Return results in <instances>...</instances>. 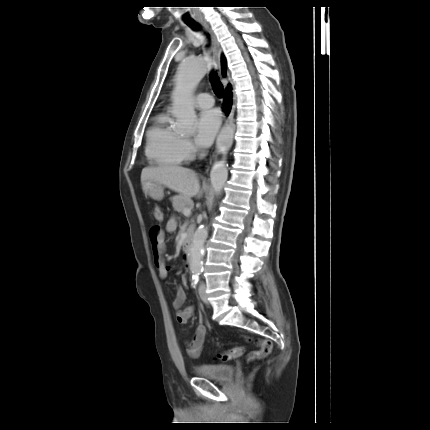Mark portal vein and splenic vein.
I'll use <instances>...</instances> for the list:
<instances>
[{
  "label": "portal vein and splenic vein",
  "instance_id": "1",
  "mask_svg": "<svg viewBox=\"0 0 430 430\" xmlns=\"http://www.w3.org/2000/svg\"><path fill=\"white\" fill-rule=\"evenodd\" d=\"M183 214H184L185 216H190V214H191V208H186V209H184Z\"/></svg>",
  "mask_w": 430,
  "mask_h": 430
}]
</instances>
